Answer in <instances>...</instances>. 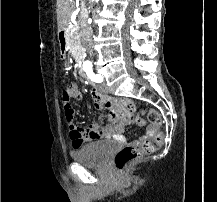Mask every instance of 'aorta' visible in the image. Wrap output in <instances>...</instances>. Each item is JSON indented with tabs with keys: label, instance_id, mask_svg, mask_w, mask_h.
<instances>
[{
	"label": "aorta",
	"instance_id": "obj_1",
	"mask_svg": "<svg viewBox=\"0 0 217 202\" xmlns=\"http://www.w3.org/2000/svg\"><path fill=\"white\" fill-rule=\"evenodd\" d=\"M92 2H97V0H92Z\"/></svg>",
	"mask_w": 217,
	"mask_h": 202
}]
</instances>
